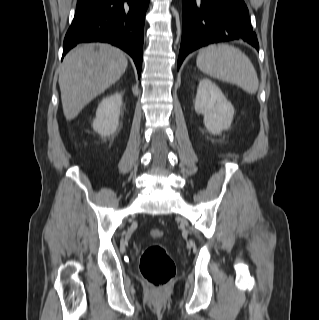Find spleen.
Segmentation results:
<instances>
[{
    "mask_svg": "<svg viewBox=\"0 0 319 320\" xmlns=\"http://www.w3.org/2000/svg\"><path fill=\"white\" fill-rule=\"evenodd\" d=\"M197 67L205 74L236 84L249 94L259 87L257 72L250 59L228 44H212L199 51Z\"/></svg>",
    "mask_w": 319,
    "mask_h": 320,
    "instance_id": "obj_1",
    "label": "spleen"
}]
</instances>
